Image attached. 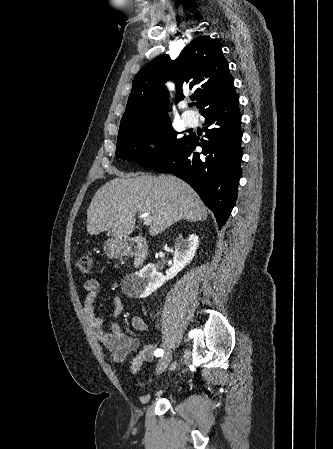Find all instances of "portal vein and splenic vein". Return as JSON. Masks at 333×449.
Segmentation results:
<instances>
[{"mask_svg":"<svg viewBox=\"0 0 333 449\" xmlns=\"http://www.w3.org/2000/svg\"><path fill=\"white\" fill-rule=\"evenodd\" d=\"M142 217L144 225H150L152 223V216L150 214H143Z\"/></svg>","mask_w":333,"mask_h":449,"instance_id":"portal-vein-and-splenic-vein-1","label":"portal vein and splenic vein"}]
</instances>
